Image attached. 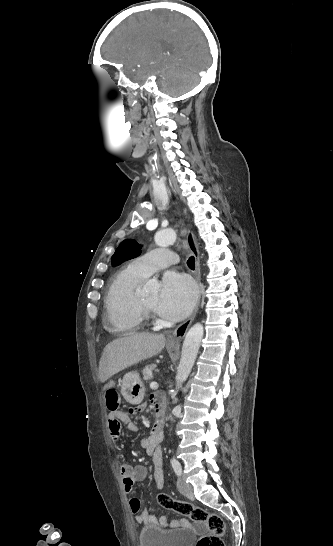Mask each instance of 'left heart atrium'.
I'll return each mask as SVG.
<instances>
[{
    "label": "left heart atrium",
    "instance_id": "obj_1",
    "mask_svg": "<svg viewBox=\"0 0 333 546\" xmlns=\"http://www.w3.org/2000/svg\"><path fill=\"white\" fill-rule=\"evenodd\" d=\"M196 290L192 281L184 274L167 272L162 280L156 310L166 319L178 321L193 309Z\"/></svg>",
    "mask_w": 333,
    "mask_h": 546
}]
</instances>
